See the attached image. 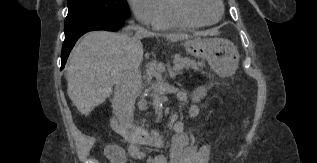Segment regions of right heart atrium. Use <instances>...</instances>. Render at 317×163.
Here are the masks:
<instances>
[{"label": "right heart atrium", "instance_id": "d8ad5b80", "mask_svg": "<svg viewBox=\"0 0 317 163\" xmlns=\"http://www.w3.org/2000/svg\"><path fill=\"white\" fill-rule=\"evenodd\" d=\"M135 18L145 26H153L158 17L156 0H127Z\"/></svg>", "mask_w": 317, "mask_h": 163}]
</instances>
